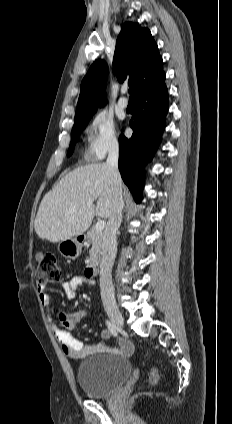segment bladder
<instances>
[{
    "instance_id": "bladder-1",
    "label": "bladder",
    "mask_w": 232,
    "mask_h": 424,
    "mask_svg": "<svg viewBox=\"0 0 232 424\" xmlns=\"http://www.w3.org/2000/svg\"><path fill=\"white\" fill-rule=\"evenodd\" d=\"M131 373L132 367L126 358L97 354L79 364L76 379L90 398H107L120 389Z\"/></svg>"
}]
</instances>
